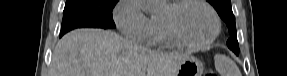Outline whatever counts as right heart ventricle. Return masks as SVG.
<instances>
[{"instance_id":"e07e8e85","label":"right heart ventricle","mask_w":287,"mask_h":76,"mask_svg":"<svg viewBox=\"0 0 287 76\" xmlns=\"http://www.w3.org/2000/svg\"><path fill=\"white\" fill-rule=\"evenodd\" d=\"M167 3L168 7L172 4L170 1H167ZM150 25L151 33L146 42L147 44L160 48H172L177 46L167 31L164 13L153 14L150 18Z\"/></svg>"}]
</instances>
